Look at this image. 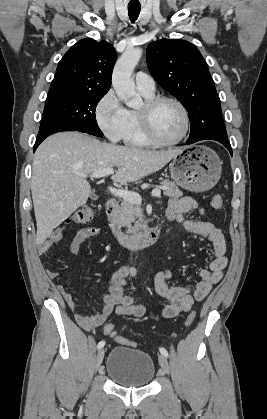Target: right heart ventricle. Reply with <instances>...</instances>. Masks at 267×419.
<instances>
[{"label": "right heart ventricle", "mask_w": 267, "mask_h": 419, "mask_svg": "<svg viewBox=\"0 0 267 419\" xmlns=\"http://www.w3.org/2000/svg\"><path fill=\"white\" fill-rule=\"evenodd\" d=\"M141 93L146 99L154 97V93ZM123 141L126 145L131 147H149L153 145L142 131L137 110H127V127L123 136Z\"/></svg>", "instance_id": "right-heart-ventricle-1"}]
</instances>
